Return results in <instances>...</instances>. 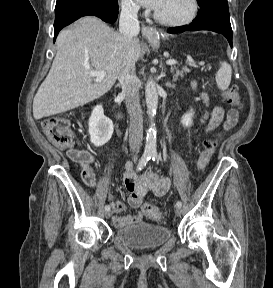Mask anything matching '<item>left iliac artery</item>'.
<instances>
[{
    "mask_svg": "<svg viewBox=\"0 0 273 288\" xmlns=\"http://www.w3.org/2000/svg\"><path fill=\"white\" fill-rule=\"evenodd\" d=\"M157 153H153L152 155H151V157H152V160H154L155 161V159H157ZM176 206L177 207H181L182 206V202L181 201H178L177 203H176Z\"/></svg>",
    "mask_w": 273,
    "mask_h": 288,
    "instance_id": "left-iliac-artery-1",
    "label": "left iliac artery"
}]
</instances>
